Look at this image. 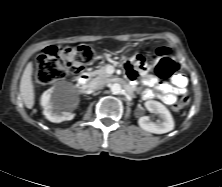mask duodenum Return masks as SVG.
Segmentation results:
<instances>
[{"label": "duodenum", "mask_w": 222, "mask_h": 187, "mask_svg": "<svg viewBox=\"0 0 222 187\" xmlns=\"http://www.w3.org/2000/svg\"><path fill=\"white\" fill-rule=\"evenodd\" d=\"M92 74L90 72H85L79 77V84L82 87L81 91L85 92L88 89V83L90 81Z\"/></svg>", "instance_id": "410a0bca"}]
</instances>
